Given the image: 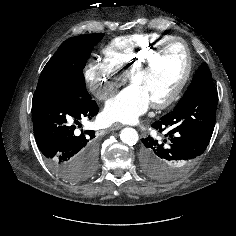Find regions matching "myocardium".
Returning a JSON list of instances; mask_svg holds the SVG:
<instances>
[{
	"label": "myocardium",
	"instance_id": "myocardium-1",
	"mask_svg": "<svg viewBox=\"0 0 236 236\" xmlns=\"http://www.w3.org/2000/svg\"><path fill=\"white\" fill-rule=\"evenodd\" d=\"M173 44H180L184 49L185 54V69L182 77L178 81L177 85L174 89L163 99L157 100L151 103L152 107L156 109H163L171 105L181 94L184 87L186 86L192 70V57L188 48L187 43L181 39L174 37L172 39L166 40L159 44L143 61H141L133 70L130 72L129 78L133 82V80L146 70H148L154 62L158 59V57L162 54V52L167 49L169 46Z\"/></svg>",
	"mask_w": 236,
	"mask_h": 236
}]
</instances>
